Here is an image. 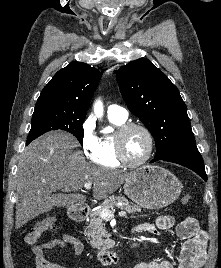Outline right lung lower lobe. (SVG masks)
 <instances>
[{
    "label": "right lung lower lobe",
    "mask_w": 221,
    "mask_h": 268,
    "mask_svg": "<svg viewBox=\"0 0 221 268\" xmlns=\"http://www.w3.org/2000/svg\"><path fill=\"white\" fill-rule=\"evenodd\" d=\"M32 140H28L27 144H29Z\"/></svg>",
    "instance_id": "obj_1"
}]
</instances>
